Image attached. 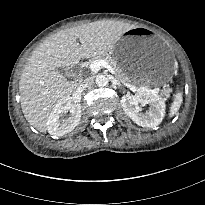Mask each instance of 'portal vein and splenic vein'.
Here are the masks:
<instances>
[{
    "label": "portal vein and splenic vein",
    "mask_w": 205,
    "mask_h": 205,
    "mask_svg": "<svg viewBox=\"0 0 205 205\" xmlns=\"http://www.w3.org/2000/svg\"><path fill=\"white\" fill-rule=\"evenodd\" d=\"M101 68H106L110 73L115 74L111 65L105 60H95L90 64V69L92 72H98ZM141 89H145V88H141ZM150 91L153 93H157L158 89H152Z\"/></svg>",
    "instance_id": "1"
}]
</instances>
